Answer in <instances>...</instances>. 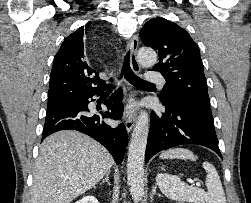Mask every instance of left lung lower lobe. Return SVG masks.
Masks as SVG:
<instances>
[{
    "label": "left lung lower lobe",
    "mask_w": 251,
    "mask_h": 203,
    "mask_svg": "<svg viewBox=\"0 0 251 203\" xmlns=\"http://www.w3.org/2000/svg\"><path fill=\"white\" fill-rule=\"evenodd\" d=\"M161 102L165 111L151 113L145 162L162 150L184 144L205 146L221 156L211 110L185 99Z\"/></svg>",
    "instance_id": "obj_1"
}]
</instances>
